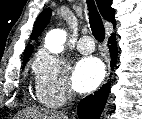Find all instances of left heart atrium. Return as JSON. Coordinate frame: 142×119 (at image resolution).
<instances>
[{
	"instance_id": "39dd6f15",
	"label": "left heart atrium",
	"mask_w": 142,
	"mask_h": 119,
	"mask_svg": "<svg viewBox=\"0 0 142 119\" xmlns=\"http://www.w3.org/2000/svg\"><path fill=\"white\" fill-rule=\"evenodd\" d=\"M104 75V66L99 59H81L76 64L72 77L74 88L79 92L92 91L102 82Z\"/></svg>"
}]
</instances>
